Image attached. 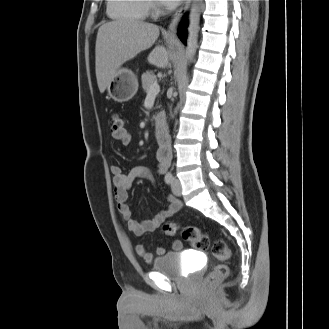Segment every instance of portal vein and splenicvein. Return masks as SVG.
Here are the masks:
<instances>
[{"mask_svg": "<svg viewBox=\"0 0 329 329\" xmlns=\"http://www.w3.org/2000/svg\"><path fill=\"white\" fill-rule=\"evenodd\" d=\"M160 92V86L157 83H154L150 86L147 95L156 96Z\"/></svg>", "mask_w": 329, "mask_h": 329, "instance_id": "18ae733b", "label": "portal vein and splenic vein"}]
</instances>
